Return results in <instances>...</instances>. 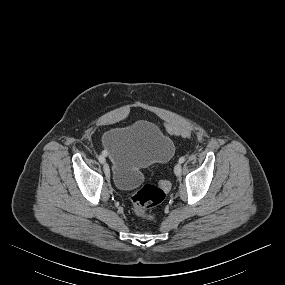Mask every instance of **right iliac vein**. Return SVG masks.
<instances>
[{
  "instance_id": "obj_1",
  "label": "right iliac vein",
  "mask_w": 285,
  "mask_h": 285,
  "mask_svg": "<svg viewBox=\"0 0 285 285\" xmlns=\"http://www.w3.org/2000/svg\"><path fill=\"white\" fill-rule=\"evenodd\" d=\"M103 170H104V173L106 174V176H109L110 174V169H109V165L107 163H105L103 165Z\"/></svg>"
}]
</instances>
